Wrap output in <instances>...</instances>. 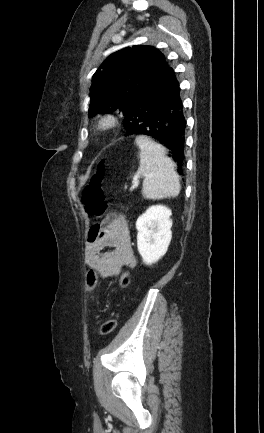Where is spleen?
I'll return each mask as SVG.
<instances>
[{
  "instance_id": "1",
  "label": "spleen",
  "mask_w": 264,
  "mask_h": 433,
  "mask_svg": "<svg viewBox=\"0 0 264 433\" xmlns=\"http://www.w3.org/2000/svg\"><path fill=\"white\" fill-rule=\"evenodd\" d=\"M140 148L139 173L144 177L142 194L147 199L175 198L181 186L174 162L165 148L146 136L135 139Z\"/></svg>"
}]
</instances>
